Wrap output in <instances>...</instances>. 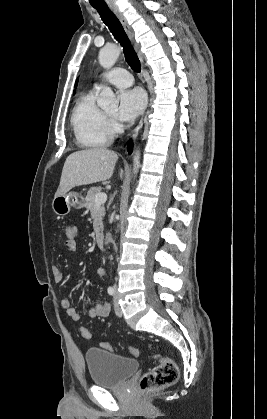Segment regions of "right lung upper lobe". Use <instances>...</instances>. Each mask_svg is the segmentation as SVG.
Returning a JSON list of instances; mask_svg holds the SVG:
<instances>
[{
    "mask_svg": "<svg viewBox=\"0 0 267 419\" xmlns=\"http://www.w3.org/2000/svg\"><path fill=\"white\" fill-rule=\"evenodd\" d=\"M77 86V81H76V84H75V87ZM75 92V91H74Z\"/></svg>",
    "mask_w": 267,
    "mask_h": 419,
    "instance_id": "1",
    "label": "right lung upper lobe"
}]
</instances>
